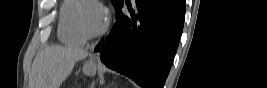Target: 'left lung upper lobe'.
I'll return each instance as SVG.
<instances>
[{
    "label": "left lung upper lobe",
    "mask_w": 267,
    "mask_h": 88,
    "mask_svg": "<svg viewBox=\"0 0 267 88\" xmlns=\"http://www.w3.org/2000/svg\"><path fill=\"white\" fill-rule=\"evenodd\" d=\"M123 0H112L114 7L116 8Z\"/></svg>",
    "instance_id": "obj_1"
}]
</instances>
